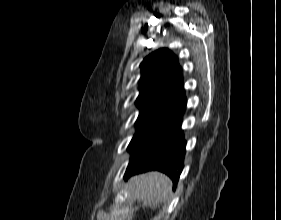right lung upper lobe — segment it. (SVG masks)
I'll return each instance as SVG.
<instances>
[{"instance_id":"cb5924a9","label":"right lung upper lobe","mask_w":281,"mask_h":220,"mask_svg":"<svg viewBox=\"0 0 281 220\" xmlns=\"http://www.w3.org/2000/svg\"><path fill=\"white\" fill-rule=\"evenodd\" d=\"M138 118L174 119L186 107L183 79L177 57L159 49L141 63Z\"/></svg>"}]
</instances>
